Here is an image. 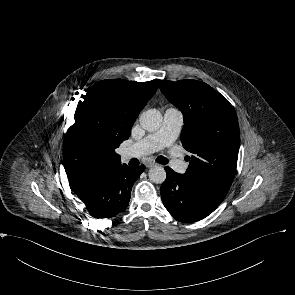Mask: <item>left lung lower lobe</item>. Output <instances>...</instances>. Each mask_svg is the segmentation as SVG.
Segmentation results:
<instances>
[{
  "mask_svg": "<svg viewBox=\"0 0 295 295\" xmlns=\"http://www.w3.org/2000/svg\"><path fill=\"white\" fill-rule=\"evenodd\" d=\"M166 180L160 192L162 201L170 214L180 222H196L211 214L220 203L208 198L184 175L165 167Z\"/></svg>",
  "mask_w": 295,
  "mask_h": 295,
  "instance_id": "left-lung-lower-lobe-1",
  "label": "left lung lower lobe"
}]
</instances>
